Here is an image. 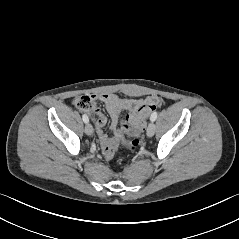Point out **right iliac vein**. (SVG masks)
<instances>
[{
  "label": "right iliac vein",
  "instance_id": "63e3f726",
  "mask_svg": "<svg viewBox=\"0 0 239 239\" xmlns=\"http://www.w3.org/2000/svg\"><path fill=\"white\" fill-rule=\"evenodd\" d=\"M94 129L93 126L91 124H86L85 126V133L89 136L93 135Z\"/></svg>",
  "mask_w": 239,
  "mask_h": 239
}]
</instances>
